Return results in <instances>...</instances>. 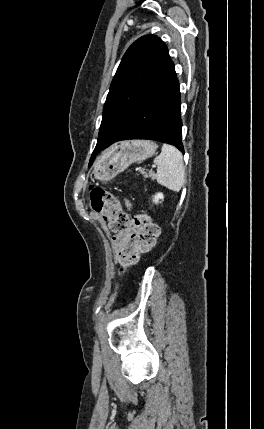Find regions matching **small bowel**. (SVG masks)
<instances>
[{"label": "small bowel", "instance_id": "1", "mask_svg": "<svg viewBox=\"0 0 264 429\" xmlns=\"http://www.w3.org/2000/svg\"><path fill=\"white\" fill-rule=\"evenodd\" d=\"M127 206L129 208L131 207L129 202H127ZM132 234L133 233L131 230H125V231H122V232L114 235L112 238V244H113L114 249L116 251H118L121 247H123L124 245L129 243L130 240L132 239Z\"/></svg>", "mask_w": 264, "mask_h": 429}]
</instances>
